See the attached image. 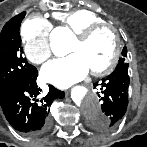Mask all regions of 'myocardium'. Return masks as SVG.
<instances>
[{
  "label": "myocardium",
  "mask_w": 147,
  "mask_h": 147,
  "mask_svg": "<svg viewBox=\"0 0 147 147\" xmlns=\"http://www.w3.org/2000/svg\"><path fill=\"white\" fill-rule=\"evenodd\" d=\"M104 30H108L113 34L114 51H113V55L111 59L104 67L98 70H91V74L98 77L109 74L116 67L120 59L122 45H121V40H120V36L117 29L109 23H101V24H96L87 28L83 32L77 34L75 37L77 41L81 43H86V42H89L97 33Z\"/></svg>",
  "instance_id": "myocardium-1"
}]
</instances>
